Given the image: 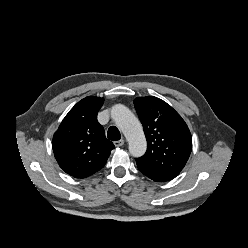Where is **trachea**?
Instances as JSON below:
<instances>
[{"label":"trachea","instance_id":"3493384b","mask_svg":"<svg viewBox=\"0 0 248 248\" xmlns=\"http://www.w3.org/2000/svg\"><path fill=\"white\" fill-rule=\"evenodd\" d=\"M107 137H108L109 140L118 141V140L121 139V134H120V132H119L117 127L111 126L108 129Z\"/></svg>","mask_w":248,"mask_h":248}]
</instances>
